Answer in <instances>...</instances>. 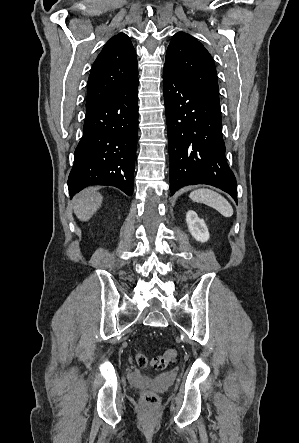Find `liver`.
<instances>
[{"mask_svg":"<svg viewBox=\"0 0 299 443\" xmlns=\"http://www.w3.org/2000/svg\"><path fill=\"white\" fill-rule=\"evenodd\" d=\"M103 196L93 188H87L77 194L73 199V209L81 221L89 220L100 208Z\"/></svg>","mask_w":299,"mask_h":443,"instance_id":"liver-1","label":"liver"}]
</instances>
